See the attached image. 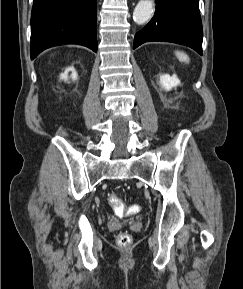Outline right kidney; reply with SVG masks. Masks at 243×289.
Returning a JSON list of instances; mask_svg holds the SVG:
<instances>
[{"instance_id":"obj_1","label":"right kidney","mask_w":243,"mask_h":289,"mask_svg":"<svg viewBox=\"0 0 243 289\" xmlns=\"http://www.w3.org/2000/svg\"><path fill=\"white\" fill-rule=\"evenodd\" d=\"M70 71L72 72V73H71V78H72L73 81H75V80L77 79V73H76L74 67H68V68L65 70V72L60 75V79H62V80H64V81H68V78H69V77H68V73H69Z\"/></svg>"}]
</instances>
